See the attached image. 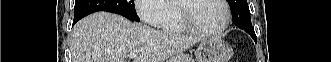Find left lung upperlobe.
Returning <instances> with one entry per match:
<instances>
[{
  "instance_id": "left-lung-upper-lobe-1",
  "label": "left lung upper lobe",
  "mask_w": 331,
  "mask_h": 62,
  "mask_svg": "<svg viewBox=\"0 0 331 62\" xmlns=\"http://www.w3.org/2000/svg\"><path fill=\"white\" fill-rule=\"evenodd\" d=\"M231 12L232 21L235 26L245 30L250 35H255L251 24L250 11L246 0H227ZM252 37V36H251Z\"/></svg>"
}]
</instances>
